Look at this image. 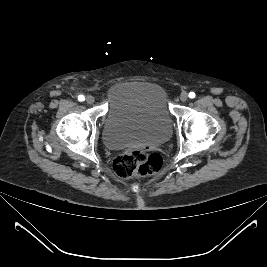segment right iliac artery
I'll use <instances>...</instances> for the list:
<instances>
[{
	"label": "right iliac artery",
	"mask_w": 267,
	"mask_h": 267,
	"mask_svg": "<svg viewBox=\"0 0 267 267\" xmlns=\"http://www.w3.org/2000/svg\"><path fill=\"white\" fill-rule=\"evenodd\" d=\"M78 100H79V101H84V100H85V97H84L83 95H80V96L78 97Z\"/></svg>",
	"instance_id": "82829eb1"
}]
</instances>
